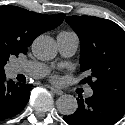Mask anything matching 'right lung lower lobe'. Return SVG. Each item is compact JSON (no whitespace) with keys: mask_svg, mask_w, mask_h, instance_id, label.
<instances>
[{"mask_svg":"<svg viewBox=\"0 0 125 125\" xmlns=\"http://www.w3.org/2000/svg\"><path fill=\"white\" fill-rule=\"evenodd\" d=\"M31 85L7 81L5 73L0 74V121L20 113L26 106Z\"/></svg>","mask_w":125,"mask_h":125,"instance_id":"right-lung-lower-lobe-1","label":"right lung lower lobe"}]
</instances>
